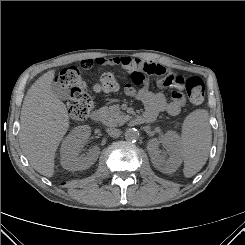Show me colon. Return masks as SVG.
<instances>
[{"label":"colon","instance_id":"5ec220e1","mask_svg":"<svg viewBox=\"0 0 245 245\" xmlns=\"http://www.w3.org/2000/svg\"><path fill=\"white\" fill-rule=\"evenodd\" d=\"M174 74L173 72H170ZM144 77L140 73H133L130 77L134 85H140ZM60 86L71 90L67 106L71 117L75 120H83L88 117L93 109L94 102L86 89L80 71L75 66H69L61 70L57 77ZM188 98L193 104H200L205 95L204 82L200 77H190L185 82ZM119 88V81L113 73L105 72L101 75L95 86L98 92H114Z\"/></svg>","mask_w":245,"mask_h":245}]
</instances>
